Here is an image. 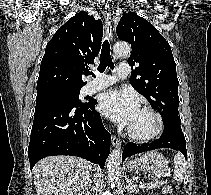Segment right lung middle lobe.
I'll return each mask as SVG.
<instances>
[{"mask_svg": "<svg viewBox=\"0 0 211 195\" xmlns=\"http://www.w3.org/2000/svg\"><path fill=\"white\" fill-rule=\"evenodd\" d=\"M80 88L53 89L37 93L36 102L49 99H63L70 103L84 104L79 101Z\"/></svg>", "mask_w": 211, "mask_h": 195, "instance_id": "right-lung-middle-lobe-1", "label": "right lung middle lobe"}]
</instances>
